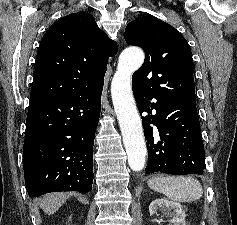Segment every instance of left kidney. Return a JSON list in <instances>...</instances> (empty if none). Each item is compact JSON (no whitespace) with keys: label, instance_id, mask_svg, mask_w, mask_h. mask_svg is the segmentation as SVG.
Masks as SVG:
<instances>
[{"label":"left kidney","instance_id":"5707ae66","mask_svg":"<svg viewBox=\"0 0 237 225\" xmlns=\"http://www.w3.org/2000/svg\"><path fill=\"white\" fill-rule=\"evenodd\" d=\"M158 210H162L167 216L172 217L169 220V225H185L186 214L181 204L166 199H156L149 205L150 215L153 216Z\"/></svg>","mask_w":237,"mask_h":225}]
</instances>
